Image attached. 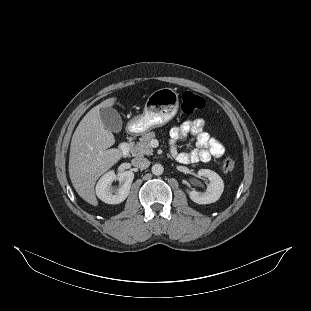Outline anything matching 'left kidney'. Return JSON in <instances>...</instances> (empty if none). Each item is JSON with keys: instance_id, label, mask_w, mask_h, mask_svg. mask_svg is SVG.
<instances>
[{"instance_id": "5707ae66", "label": "left kidney", "mask_w": 311, "mask_h": 311, "mask_svg": "<svg viewBox=\"0 0 311 311\" xmlns=\"http://www.w3.org/2000/svg\"><path fill=\"white\" fill-rule=\"evenodd\" d=\"M198 175L208 178L210 183L207 185L206 192L204 193L195 190L190 191V199L197 204H210L216 202L224 190V182L222 178L210 169H200Z\"/></svg>"}]
</instances>
